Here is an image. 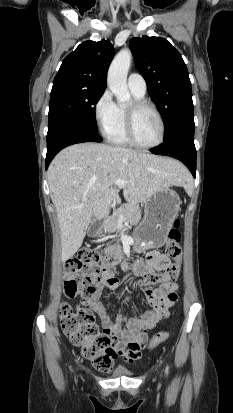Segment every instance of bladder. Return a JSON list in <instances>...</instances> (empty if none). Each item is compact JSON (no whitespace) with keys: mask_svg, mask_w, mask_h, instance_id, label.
<instances>
[{"mask_svg":"<svg viewBox=\"0 0 233 413\" xmlns=\"http://www.w3.org/2000/svg\"><path fill=\"white\" fill-rule=\"evenodd\" d=\"M131 375H133V373L128 371V370H118L113 374L114 377H121V376L128 377V376H131Z\"/></svg>","mask_w":233,"mask_h":413,"instance_id":"31cf9c89","label":"bladder"}]
</instances>
